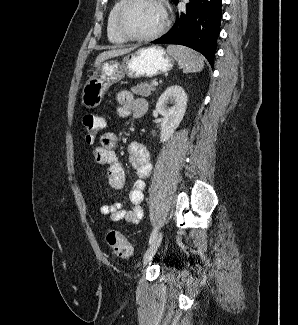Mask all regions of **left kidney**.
<instances>
[{
  "label": "left kidney",
  "instance_id": "1",
  "mask_svg": "<svg viewBox=\"0 0 298 325\" xmlns=\"http://www.w3.org/2000/svg\"><path fill=\"white\" fill-rule=\"evenodd\" d=\"M167 102H172L173 106H167ZM188 96L179 84L168 86L162 94H160L156 102V110L162 114L160 140L166 142L178 128L183 116L186 112Z\"/></svg>",
  "mask_w": 298,
  "mask_h": 325
}]
</instances>
